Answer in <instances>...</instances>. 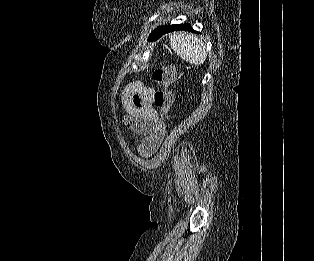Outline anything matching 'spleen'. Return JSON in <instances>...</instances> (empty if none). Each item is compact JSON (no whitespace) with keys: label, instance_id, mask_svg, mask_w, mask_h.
Returning <instances> with one entry per match:
<instances>
[{"label":"spleen","instance_id":"1","mask_svg":"<svg viewBox=\"0 0 314 261\" xmlns=\"http://www.w3.org/2000/svg\"><path fill=\"white\" fill-rule=\"evenodd\" d=\"M170 45L180 58L190 64L200 65L207 58L205 43L195 35L184 33L171 35Z\"/></svg>","mask_w":314,"mask_h":261}]
</instances>
